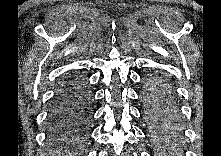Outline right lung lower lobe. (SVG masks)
<instances>
[{
    "label": "right lung lower lobe",
    "mask_w": 221,
    "mask_h": 156,
    "mask_svg": "<svg viewBox=\"0 0 221 156\" xmlns=\"http://www.w3.org/2000/svg\"><path fill=\"white\" fill-rule=\"evenodd\" d=\"M92 94L86 80L80 76L66 77L52 99L48 127L51 131H75L89 124Z\"/></svg>",
    "instance_id": "right-lung-lower-lobe-1"
}]
</instances>
